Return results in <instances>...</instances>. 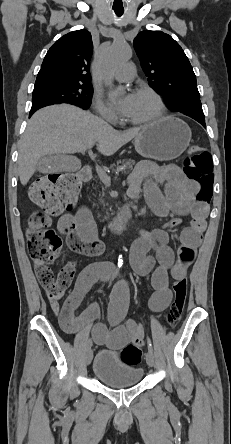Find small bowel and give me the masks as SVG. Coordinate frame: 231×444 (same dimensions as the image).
<instances>
[{"label":"small bowel","mask_w":231,"mask_h":444,"mask_svg":"<svg viewBox=\"0 0 231 444\" xmlns=\"http://www.w3.org/2000/svg\"><path fill=\"white\" fill-rule=\"evenodd\" d=\"M159 186L164 188V192ZM196 189V185L175 165L159 167L144 163L130 177L128 194L137 197L143 191L149 206L157 215L170 217L164 227L153 231L139 228L130 252V263L134 271L140 275L151 274L154 292L148 305L154 312L168 307L172 298L170 278L185 277L187 268L196 257L208 213V205L196 199ZM184 216H190L192 223L182 232L178 259L175 261L174 251L168 245L169 230L176 227ZM58 230L66 236L68 246L82 255L95 257L104 251V245L96 238L92 217L86 209H81L74 216H61ZM35 269L37 272L36 266ZM110 270V266L104 263L86 266L62 306L60 299L65 296V292H46V296L65 332L73 334L91 326V337L96 344L118 350L131 341H142L144 336L143 322L133 319L118 321L119 314L125 312L129 302L128 291L123 283L114 288L111 296L109 316L114 324L113 328L108 329L104 324L96 322L99 316L96 303L89 305L80 315L75 314L91 286L98 280L105 279Z\"/></svg>","instance_id":"obj_1"}]
</instances>
